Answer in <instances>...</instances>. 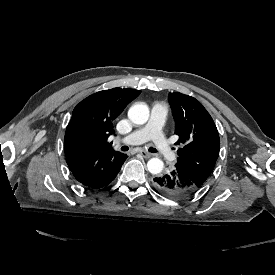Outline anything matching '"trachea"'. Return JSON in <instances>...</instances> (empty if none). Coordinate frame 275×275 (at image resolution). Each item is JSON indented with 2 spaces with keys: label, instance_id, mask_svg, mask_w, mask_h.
I'll use <instances>...</instances> for the list:
<instances>
[{
  "label": "trachea",
  "instance_id": "trachea-1",
  "mask_svg": "<svg viewBox=\"0 0 275 275\" xmlns=\"http://www.w3.org/2000/svg\"><path fill=\"white\" fill-rule=\"evenodd\" d=\"M121 150H123V151H127V150H128V147H127V146H123V147H121ZM149 151H150V152H153V153L158 152V150H157V149L152 148V147L149 149Z\"/></svg>",
  "mask_w": 275,
  "mask_h": 275
}]
</instances>
